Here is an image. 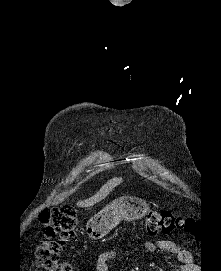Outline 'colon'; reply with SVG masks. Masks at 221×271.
<instances>
[{"instance_id": "5ec220e1", "label": "colon", "mask_w": 221, "mask_h": 271, "mask_svg": "<svg viewBox=\"0 0 221 271\" xmlns=\"http://www.w3.org/2000/svg\"><path fill=\"white\" fill-rule=\"evenodd\" d=\"M38 221L43 225L42 234L47 241L35 250L38 266L45 271H70V266L60 259V252L65 243L73 241L77 235V212L69 205L43 208L38 214ZM148 233L159 231L191 232L198 223L191 217L174 215L168 211H151L145 220Z\"/></svg>"}]
</instances>
